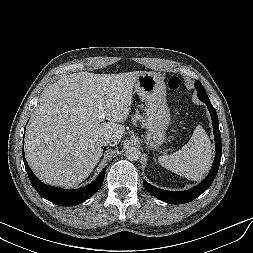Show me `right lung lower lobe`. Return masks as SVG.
<instances>
[{
	"mask_svg": "<svg viewBox=\"0 0 253 253\" xmlns=\"http://www.w3.org/2000/svg\"><path fill=\"white\" fill-rule=\"evenodd\" d=\"M23 160L28 177L35 190L43 198L60 206H74L84 202L85 200H87L89 197H91L93 194L96 193V191L101 187L105 177L106 170L103 169L98 178L91 184L76 190H64L60 188L50 187L40 182L29 168L24 157V152H23Z\"/></svg>",
	"mask_w": 253,
	"mask_h": 253,
	"instance_id": "98d812e1",
	"label": "right lung lower lobe"
}]
</instances>
